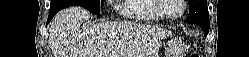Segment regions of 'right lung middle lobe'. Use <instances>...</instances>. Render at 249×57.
<instances>
[{"label":"right lung middle lobe","mask_w":249,"mask_h":57,"mask_svg":"<svg viewBox=\"0 0 249 57\" xmlns=\"http://www.w3.org/2000/svg\"><path fill=\"white\" fill-rule=\"evenodd\" d=\"M69 6H81L91 13L100 14V0H52L51 9H63Z\"/></svg>","instance_id":"right-lung-middle-lobe-1"}]
</instances>
